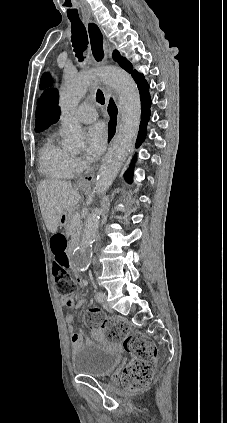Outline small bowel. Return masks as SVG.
<instances>
[{"instance_id":"c3829d8e","label":"small bowel","mask_w":227,"mask_h":423,"mask_svg":"<svg viewBox=\"0 0 227 423\" xmlns=\"http://www.w3.org/2000/svg\"><path fill=\"white\" fill-rule=\"evenodd\" d=\"M61 304L68 306V307L79 308V307H82L84 305V302L82 300H77L74 296H69V297H61ZM73 318H74L73 314H71V313H68L65 316V321L67 323V327H68L69 332L73 331V326H72ZM92 335H93L95 340H98V341L104 340V334L99 329L93 330ZM71 344L74 348L79 347L80 345L83 344V336L80 333H72Z\"/></svg>"}]
</instances>
